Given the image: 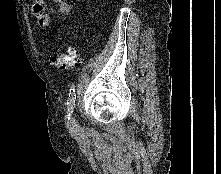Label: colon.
I'll list each match as a JSON object with an SVG mask.
<instances>
[{
	"label": "colon",
	"instance_id": "1",
	"mask_svg": "<svg viewBox=\"0 0 221 174\" xmlns=\"http://www.w3.org/2000/svg\"><path fill=\"white\" fill-rule=\"evenodd\" d=\"M80 57L76 53L75 47H68L65 51L53 54L49 62L54 67L61 70H69L80 64Z\"/></svg>",
	"mask_w": 221,
	"mask_h": 174
}]
</instances>
